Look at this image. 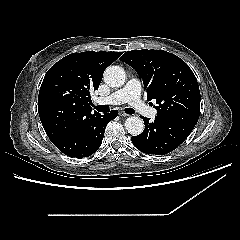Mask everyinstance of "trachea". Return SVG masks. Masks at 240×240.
Returning a JSON list of instances; mask_svg holds the SVG:
<instances>
[{
  "label": "trachea",
  "instance_id": "1",
  "mask_svg": "<svg viewBox=\"0 0 240 240\" xmlns=\"http://www.w3.org/2000/svg\"><path fill=\"white\" fill-rule=\"evenodd\" d=\"M95 109H97L99 112H103V113H107V112L110 111V108H109L108 105H98V106L95 107ZM124 111L127 114H134L135 113L134 109H132V108H125Z\"/></svg>",
  "mask_w": 240,
  "mask_h": 240
}]
</instances>
